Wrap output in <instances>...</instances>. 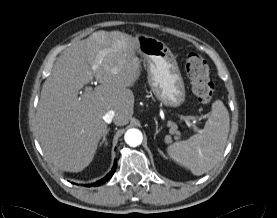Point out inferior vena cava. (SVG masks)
<instances>
[{
    "instance_id": "inferior-vena-cava-1",
    "label": "inferior vena cava",
    "mask_w": 277,
    "mask_h": 218,
    "mask_svg": "<svg viewBox=\"0 0 277 218\" xmlns=\"http://www.w3.org/2000/svg\"><path fill=\"white\" fill-rule=\"evenodd\" d=\"M115 117V112L113 110H110L108 111L104 116H103V120L106 122V123H111L112 120L114 119Z\"/></svg>"
}]
</instances>
